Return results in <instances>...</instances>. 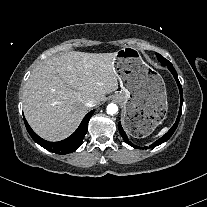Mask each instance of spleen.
<instances>
[{"mask_svg": "<svg viewBox=\"0 0 207 207\" xmlns=\"http://www.w3.org/2000/svg\"><path fill=\"white\" fill-rule=\"evenodd\" d=\"M167 130H168V127H164V128L158 133V135H157L156 137H158V136H162Z\"/></svg>", "mask_w": 207, "mask_h": 207, "instance_id": "obj_1", "label": "spleen"}]
</instances>
